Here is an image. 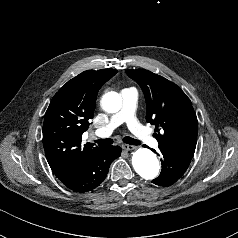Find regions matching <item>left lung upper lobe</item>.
<instances>
[{
	"label": "left lung upper lobe",
	"instance_id": "5c2ea615",
	"mask_svg": "<svg viewBox=\"0 0 238 238\" xmlns=\"http://www.w3.org/2000/svg\"><path fill=\"white\" fill-rule=\"evenodd\" d=\"M142 88L148 123L162 127L155 134L159 147L194 155L198 122L190 99L174 83L148 70H127Z\"/></svg>",
	"mask_w": 238,
	"mask_h": 238
}]
</instances>
